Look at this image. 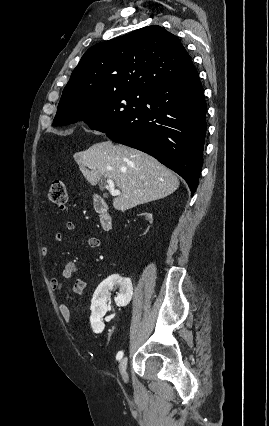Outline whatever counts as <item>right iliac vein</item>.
Segmentation results:
<instances>
[{
	"label": "right iliac vein",
	"mask_w": 269,
	"mask_h": 426,
	"mask_svg": "<svg viewBox=\"0 0 269 426\" xmlns=\"http://www.w3.org/2000/svg\"><path fill=\"white\" fill-rule=\"evenodd\" d=\"M127 357H124L121 359L120 363H119V370L122 376V379L125 382H128V374H127Z\"/></svg>",
	"instance_id": "obj_1"
}]
</instances>
